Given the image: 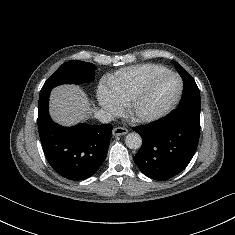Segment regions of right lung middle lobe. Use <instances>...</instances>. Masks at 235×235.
<instances>
[{"label": "right lung middle lobe", "instance_id": "right-lung-middle-lobe-1", "mask_svg": "<svg viewBox=\"0 0 235 235\" xmlns=\"http://www.w3.org/2000/svg\"><path fill=\"white\" fill-rule=\"evenodd\" d=\"M96 67L92 63L73 60L62 64L44 83L40 94L51 91L61 84H79L94 79Z\"/></svg>", "mask_w": 235, "mask_h": 235}]
</instances>
